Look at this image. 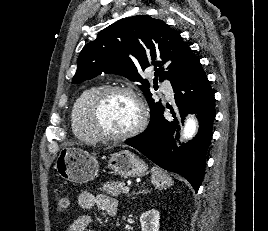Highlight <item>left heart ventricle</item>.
<instances>
[{
    "mask_svg": "<svg viewBox=\"0 0 268 231\" xmlns=\"http://www.w3.org/2000/svg\"><path fill=\"white\" fill-rule=\"evenodd\" d=\"M139 120V110L133 99L123 94L108 95L99 105L96 125L112 133L133 128Z\"/></svg>",
    "mask_w": 268,
    "mask_h": 231,
    "instance_id": "obj_1",
    "label": "left heart ventricle"
}]
</instances>
